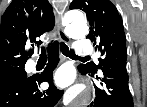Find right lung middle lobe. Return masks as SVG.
Segmentation results:
<instances>
[{"label":"right lung middle lobe","instance_id":"1","mask_svg":"<svg viewBox=\"0 0 147 107\" xmlns=\"http://www.w3.org/2000/svg\"><path fill=\"white\" fill-rule=\"evenodd\" d=\"M26 77L27 74L24 66H12L0 69V87Z\"/></svg>","mask_w":147,"mask_h":107}]
</instances>
